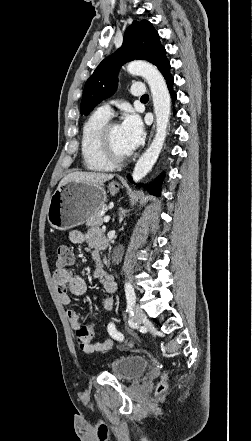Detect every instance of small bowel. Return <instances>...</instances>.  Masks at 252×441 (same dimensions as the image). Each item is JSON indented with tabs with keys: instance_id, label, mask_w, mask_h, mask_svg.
<instances>
[{
	"instance_id": "1",
	"label": "small bowel",
	"mask_w": 252,
	"mask_h": 441,
	"mask_svg": "<svg viewBox=\"0 0 252 441\" xmlns=\"http://www.w3.org/2000/svg\"><path fill=\"white\" fill-rule=\"evenodd\" d=\"M69 240L73 244L86 243L92 249V256L95 262L94 277L98 280L104 291L108 296L102 302V309L109 311L113 307L112 295L117 289V284L114 277L106 271L98 257V250H100L101 244L106 240L101 232L92 228L86 231H71L69 234ZM54 284L59 296V299L63 305L70 304L69 292L73 295H82L85 293L87 286L83 277L74 274L70 269L66 267L57 268L53 275ZM67 318L72 328L77 331L83 327L84 315L79 314L74 309H68ZM112 347V341L106 340L104 342H89L86 347V352L91 353L95 351H108Z\"/></svg>"
}]
</instances>
